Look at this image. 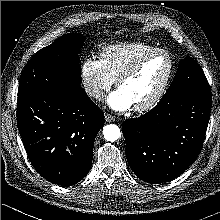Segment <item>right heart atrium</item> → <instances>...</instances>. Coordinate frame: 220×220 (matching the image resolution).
<instances>
[{
	"instance_id": "1",
	"label": "right heart atrium",
	"mask_w": 220,
	"mask_h": 220,
	"mask_svg": "<svg viewBox=\"0 0 220 220\" xmlns=\"http://www.w3.org/2000/svg\"><path fill=\"white\" fill-rule=\"evenodd\" d=\"M82 86L93 100H101L104 92L113 84L114 79L106 72L101 60L95 56L87 57L80 69Z\"/></svg>"
}]
</instances>
